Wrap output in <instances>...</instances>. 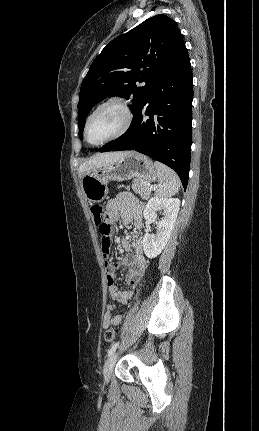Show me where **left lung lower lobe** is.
<instances>
[{"instance_id":"obj_1","label":"left lung lower lobe","mask_w":259,"mask_h":431,"mask_svg":"<svg viewBox=\"0 0 259 431\" xmlns=\"http://www.w3.org/2000/svg\"><path fill=\"white\" fill-rule=\"evenodd\" d=\"M192 79L183 42L135 111L129 129L99 151L136 150L148 155L176 171L186 189L190 170Z\"/></svg>"}]
</instances>
